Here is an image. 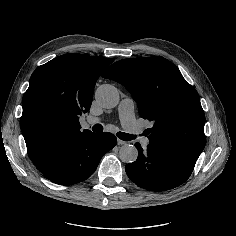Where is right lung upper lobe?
Here are the masks:
<instances>
[{
    "mask_svg": "<svg viewBox=\"0 0 236 236\" xmlns=\"http://www.w3.org/2000/svg\"><path fill=\"white\" fill-rule=\"evenodd\" d=\"M113 62L85 54L61 55L36 68L22 100L21 130L28 154L43 172L81 131L79 116L89 111L95 83Z\"/></svg>",
    "mask_w": 236,
    "mask_h": 236,
    "instance_id": "cb5924a9",
    "label": "right lung upper lobe"
}]
</instances>
